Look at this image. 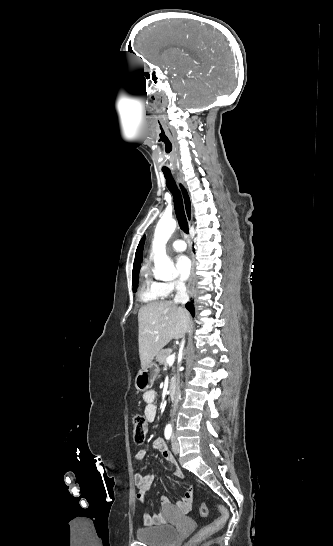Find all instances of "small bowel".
<instances>
[{"label": "small bowel", "instance_id": "small-bowel-1", "mask_svg": "<svg viewBox=\"0 0 333 546\" xmlns=\"http://www.w3.org/2000/svg\"><path fill=\"white\" fill-rule=\"evenodd\" d=\"M143 401L145 402V410L144 414L148 422H153L157 416V407H156V392L154 390H148L143 394ZM153 447L157 449L163 460L170 464L171 466H175L176 461L174 456L169 452L167 449L164 441L161 438H157L153 441ZM146 450L141 449L138 450L136 453V460L137 461H143L146 457ZM174 476L178 480L183 479V474L179 470H174ZM134 484L136 487V497L141 503L146 502V492L149 490L151 485L154 481V475L148 474L143 475L141 473H135L133 476ZM161 506H162V512L161 513H155V514H148L144 513L142 515V521L144 525L146 526H158L163 525L166 523V514L173 511L176 508L179 512L183 514H187L192 509L193 504V491L192 489H189L185 491L182 498L179 499L176 502V505L174 506L171 501L166 497L162 496L160 499Z\"/></svg>", "mask_w": 333, "mask_h": 546}]
</instances>
